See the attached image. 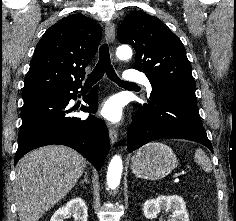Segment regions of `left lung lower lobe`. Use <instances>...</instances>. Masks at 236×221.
Here are the masks:
<instances>
[{
  "instance_id": "left-lung-lower-lobe-1",
  "label": "left lung lower lobe",
  "mask_w": 236,
  "mask_h": 221,
  "mask_svg": "<svg viewBox=\"0 0 236 221\" xmlns=\"http://www.w3.org/2000/svg\"><path fill=\"white\" fill-rule=\"evenodd\" d=\"M163 138L192 140L213 152L201 122L195 92L152 88L148 103L138 107L128 134V151Z\"/></svg>"
}]
</instances>
